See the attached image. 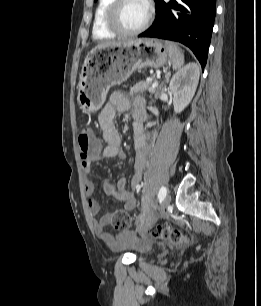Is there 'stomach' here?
<instances>
[{
    "label": "stomach",
    "mask_w": 261,
    "mask_h": 306,
    "mask_svg": "<svg viewBox=\"0 0 261 306\" xmlns=\"http://www.w3.org/2000/svg\"><path fill=\"white\" fill-rule=\"evenodd\" d=\"M169 62L167 48L157 39H134L116 45L97 46L84 61L78 99L86 111L104 103L110 87L126 81L136 70L159 68Z\"/></svg>",
    "instance_id": "1"
}]
</instances>
